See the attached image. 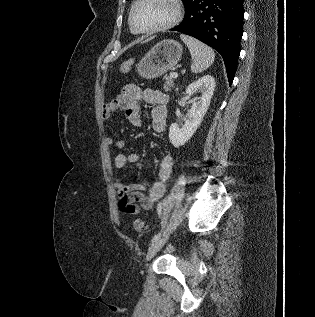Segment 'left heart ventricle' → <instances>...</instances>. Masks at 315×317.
Wrapping results in <instances>:
<instances>
[{"label": "left heart ventricle", "mask_w": 315, "mask_h": 317, "mask_svg": "<svg viewBox=\"0 0 315 317\" xmlns=\"http://www.w3.org/2000/svg\"><path fill=\"white\" fill-rule=\"evenodd\" d=\"M173 14L170 0H143L135 10L134 21L138 28L146 29L168 22Z\"/></svg>", "instance_id": "1"}]
</instances>
